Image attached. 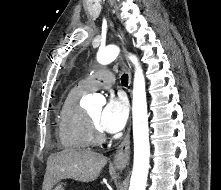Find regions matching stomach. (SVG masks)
<instances>
[{
    "mask_svg": "<svg viewBox=\"0 0 221 190\" xmlns=\"http://www.w3.org/2000/svg\"><path fill=\"white\" fill-rule=\"evenodd\" d=\"M53 190H64L62 185H57Z\"/></svg>",
    "mask_w": 221,
    "mask_h": 190,
    "instance_id": "0dacf381",
    "label": "stomach"
}]
</instances>
